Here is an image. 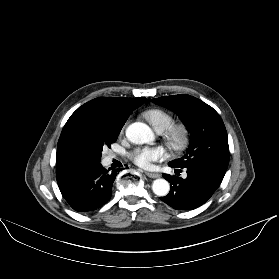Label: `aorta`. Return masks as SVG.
I'll return each instance as SVG.
<instances>
[{
	"label": "aorta",
	"instance_id": "aorta-1",
	"mask_svg": "<svg viewBox=\"0 0 279 279\" xmlns=\"http://www.w3.org/2000/svg\"><path fill=\"white\" fill-rule=\"evenodd\" d=\"M128 140L134 144L150 143L154 139V134L150 127L141 122L130 124L126 129ZM152 190L157 196H166L170 191V185L165 179H156L153 181Z\"/></svg>",
	"mask_w": 279,
	"mask_h": 279
}]
</instances>
